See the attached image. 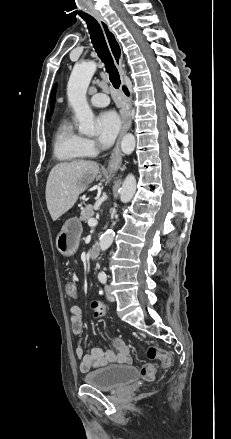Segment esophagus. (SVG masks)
Listing matches in <instances>:
<instances>
[{
	"label": "esophagus",
	"mask_w": 231,
	"mask_h": 439,
	"mask_svg": "<svg viewBox=\"0 0 231 439\" xmlns=\"http://www.w3.org/2000/svg\"><path fill=\"white\" fill-rule=\"evenodd\" d=\"M94 17L99 22L102 31L104 33L107 45L109 47V50L111 52V55L114 59L115 65L119 71V74L121 76L122 83H124V76H125V70L123 65V53L121 49V45L118 42L115 33L110 28L106 20L100 15L95 13ZM131 126V118H130V110L127 112L124 118L123 126L121 129V132L119 134V137L117 139L116 145L113 149L111 161L108 164V171L110 172H116L122 163V153L120 150V142L124 134L129 130Z\"/></svg>",
	"instance_id": "obj_1"
}]
</instances>
